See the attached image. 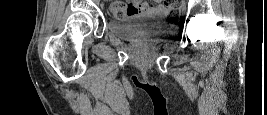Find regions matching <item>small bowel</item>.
Masks as SVG:
<instances>
[{
	"instance_id": "1",
	"label": "small bowel",
	"mask_w": 267,
	"mask_h": 115,
	"mask_svg": "<svg viewBox=\"0 0 267 115\" xmlns=\"http://www.w3.org/2000/svg\"><path fill=\"white\" fill-rule=\"evenodd\" d=\"M133 14L159 13L163 14L165 6L161 0H156L154 3L136 1L130 4Z\"/></svg>"
}]
</instances>
